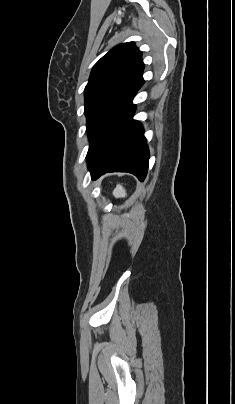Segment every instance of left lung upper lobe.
<instances>
[{
    "label": "left lung upper lobe",
    "instance_id": "5c2ea615",
    "mask_svg": "<svg viewBox=\"0 0 235 404\" xmlns=\"http://www.w3.org/2000/svg\"><path fill=\"white\" fill-rule=\"evenodd\" d=\"M143 69L142 53L133 42L115 46L93 66L84 90V113L90 141L141 88Z\"/></svg>",
    "mask_w": 235,
    "mask_h": 404
}]
</instances>
